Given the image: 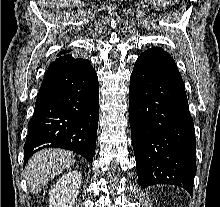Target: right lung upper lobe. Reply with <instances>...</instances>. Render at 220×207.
Instances as JSON below:
<instances>
[{
	"label": "right lung upper lobe",
	"mask_w": 220,
	"mask_h": 207,
	"mask_svg": "<svg viewBox=\"0 0 220 207\" xmlns=\"http://www.w3.org/2000/svg\"><path fill=\"white\" fill-rule=\"evenodd\" d=\"M67 52H68V50H62L60 53H58V55L65 54Z\"/></svg>",
	"instance_id": "1"
}]
</instances>
